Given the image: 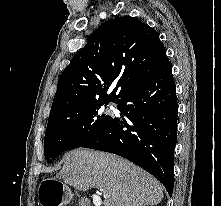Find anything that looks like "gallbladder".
Returning <instances> with one entry per match:
<instances>
[{
    "instance_id": "1",
    "label": "gallbladder",
    "mask_w": 221,
    "mask_h": 206,
    "mask_svg": "<svg viewBox=\"0 0 221 206\" xmlns=\"http://www.w3.org/2000/svg\"><path fill=\"white\" fill-rule=\"evenodd\" d=\"M89 198H92L93 202H104L105 198L104 197H98V193H89ZM92 206H101L100 203H93Z\"/></svg>"
}]
</instances>
